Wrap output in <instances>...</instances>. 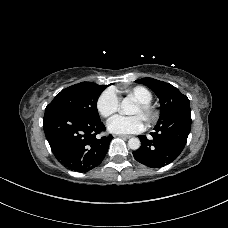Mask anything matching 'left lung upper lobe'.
Returning a JSON list of instances; mask_svg holds the SVG:
<instances>
[{
    "instance_id": "left-lung-upper-lobe-1",
    "label": "left lung upper lobe",
    "mask_w": 228,
    "mask_h": 228,
    "mask_svg": "<svg viewBox=\"0 0 228 228\" xmlns=\"http://www.w3.org/2000/svg\"><path fill=\"white\" fill-rule=\"evenodd\" d=\"M135 82L146 85L158 96L161 104V115L158 123L174 116L175 124H181L180 111L190 109L189 99L185 95L173 85L153 78H143Z\"/></svg>"
}]
</instances>
